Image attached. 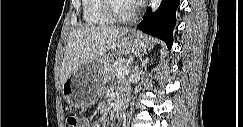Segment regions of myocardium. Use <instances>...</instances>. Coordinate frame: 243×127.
<instances>
[{
    "label": "myocardium",
    "mask_w": 243,
    "mask_h": 127,
    "mask_svg": "<svg viewBox=\"0 0 243 127\" xmlns=\"http://www.w3.org/2000/svg\"><path fill=\"white\" fill-rule=\"evenodd\" d=\"M116 0H104V9L106 14L111 18L114 22H129L133 20L138 14L137 5L131 3L132 9L128 14H120L116 11L115 7Z\"/></svg>",
    "instance_id": "1"
}]
</instances>
